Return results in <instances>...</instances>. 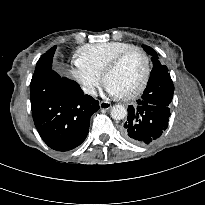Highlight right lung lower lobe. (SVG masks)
<instances>
[{
    "label": "right lung lower lobe",
    "mask_w": 205,
    "mask_h": 205,
    "mask_svg": "<svg viewBox=\"0 0 205 205\" xmlns=\"http://www.w3.org/2000/svg\"><path fill=\"white\" fill-rule=\"evenodd\" d=\"M55 50L56 46L52 47L37 62L30 84L32 116L50 148L68 151L85 140L99 101L85 95L75 81L61 78L52 70Z\"/></svg>",
    "instance_id": "1"
}]
</instances>
